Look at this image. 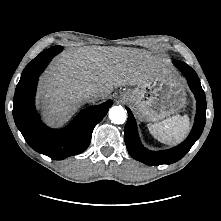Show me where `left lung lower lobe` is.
Masks as SVG:
<instances>
[{
    "label": "left lung lower lobe",
    "instance_id": "0a47b994",
    "mask_svg": "<svg viewBox=\"0 0 221 221\" xmlns=\"http://www.w3.org/2000/svg\"><path fill=\"white\" fill-rule=\"evenodd\" d=\"M173 64L185 76L189 87L197 100L194 126L189 136L181 144L169 150L158 152L146 149L140 142L135 118L133 117L131 111L126 108L128 111V120L124 129V140L127 150L133 158L151 166L172 164L183 158L200 137L206 122V99L199 77L197 76L196 72L186 63L182 61H173Z\"/></svg>",
    "mask_w": 221,
    "mask_h": 221
}]
</instances>
